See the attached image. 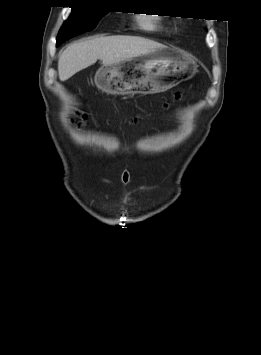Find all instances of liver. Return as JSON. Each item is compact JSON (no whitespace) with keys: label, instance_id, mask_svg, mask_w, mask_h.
Instances as JSON below:
<instances>
[{"label":"liver","instance_id":"liver-1","mask_svg":"<svg viewBox=\"0 0 261 355\" xmlns=\"http://www.w3.org/2000/svg\"><path fill=\"white\" fill-rule=\"evenodd\" d=\"M164 47L162 44L138 36L94 37L70 44L59 57L58 73L66 81L99 59L111 65Z\"/></svg>","mask_w":261,"mask_h":355}]
</instances>
